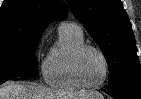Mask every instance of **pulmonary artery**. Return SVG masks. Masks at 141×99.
<instances>
[{"label": "pulmonary artery", "instance_id": "obj_1", "mask_svg": "<svg viewBox=\"0 0 141 99\" xmlns=\"http://www.w3.org/2000/svg\"><path fill=\"white\" fill-rule=\"evenodd\" d=\"M59 32H73L77 34H82V28L80 25L73 22L62 23L59 26Z\"/></svg>", "mask_w": 141, "mask_h": 99}]
</instances>
